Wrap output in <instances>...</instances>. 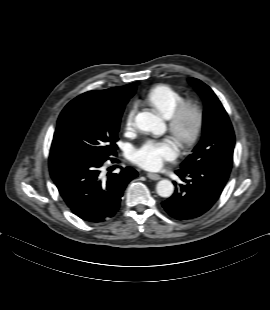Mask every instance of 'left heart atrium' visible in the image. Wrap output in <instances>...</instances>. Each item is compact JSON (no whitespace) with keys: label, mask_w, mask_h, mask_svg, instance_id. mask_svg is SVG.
<instances>
[{"label":"left heart atrium","mask_w":270,"mask_h":310,"mask_svg":"<svg viewBox=\"0 0 270 310\" xmlns=\"http://www.w3.org/2000/svg\"><path fill=\"white\" fill-rule=\"evenodd\" d=\"M176 155V146L169 140L146 141L132 151L131 160L144 169L155 170L160 168L164 162L173 160Z\"/></svg>","instance_id":"left-heart-atrium-1"}]
</instances>
